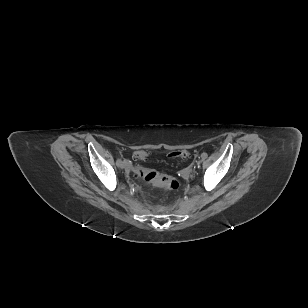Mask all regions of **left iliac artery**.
Returning a JSON list of instances; mask_svg holds the SVG:
<instances>
[{
  "label": "left iliac artery",
  "mask_w": 308,
  "mask_h": 308,
  "mask_svg": "<svg viewBox=\"0 0 308 308\" xmlns=\"http://www.w3.org/2000/svg\"><path fill=\"white\" fill-rule=\"evenodd\" d=\"M201 157H202L203 159H205V158L207 157V154H206V153H202Z\"/></svg>",
  "instance_id": "obj_1"
}]
</instances>
